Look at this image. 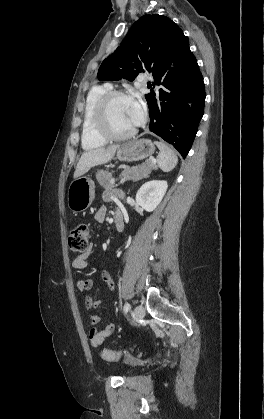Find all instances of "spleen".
I'll return each instance as SVG.
<instances>
[{"instance_id":"3e777b00","label":"spleen","mask_w":264,"mask_h":419,"mask_svg":"<svg viewBox=\"0 0 264 419\" xmlns=\"http://www.w3.org/2000/svg\"><path fill=\"white\" fill-rule=\"evenodd\" d=\"M156 146L160 150L158 157H157V163L158 166L164 171V172H170L175 168V166L178 163V158L176 153L168 147L166 144L162 142H155Z\"/></svg>"}]
</instances>
